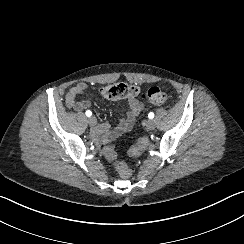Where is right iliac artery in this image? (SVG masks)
<instances>
[{
  "label": "right iliac artery",
  "instance_id": "obj_1",
  "mask_svg": "<svg viewBox=\"0 0 244 244\" xmlns=\"http://www.w3.org/2000/svg\"><path fill=\"white\" fill-rule=\"evenodd\" d=\"M85 114L86 116L90 117L92 115V112L90 110H87Z\"/></svg>",
  "mask_w": 244,
  "mask_h": 244
}]
</instances>
